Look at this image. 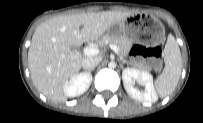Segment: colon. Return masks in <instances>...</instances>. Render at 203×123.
Listing matches in <instances>:
<instances>
[{
  "label": "colon",
  "instance_id": "5ec220e1",
  "mask_svg": "<svg viewBox=\"0 0 203 123\" xmlns=\"http://www.w3.org/2000/svg\"><path fill=\"white\" fill-rule=\"evenodd\" d=\"M147 56L151 60L153 67L156 71H160L162 68V61L160 59L161 49L159 47L151 48L147 51Z\"/></svg>",
  "mask_w": 203,
  "mask_h": 123
}]
</instances>
